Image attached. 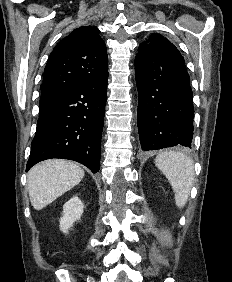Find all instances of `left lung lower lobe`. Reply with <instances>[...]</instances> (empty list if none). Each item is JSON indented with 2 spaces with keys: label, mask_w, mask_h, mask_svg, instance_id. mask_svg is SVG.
Segmentation results:
<instances>
[{
  "label": "left lung lower lobe",
  "mask_w": 232,
  "mask_h": 282,
  "mask_svg": "<svg viewBox=\"0 0 232 282\" xmlns=\"http://www.w3.org/2000/svg\"><path fill=\"white\" fill-rule=\"evenodd\" d=\"M135 77L142 150L191 148L192 90L179 50L168 39L140 44L135 57Z\"/></svg>",
  "instance_id": "0a47b994"
}]
</instances>
